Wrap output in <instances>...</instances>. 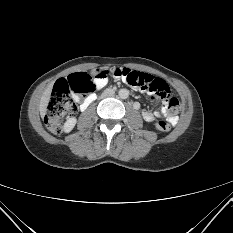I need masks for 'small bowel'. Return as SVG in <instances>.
Instances as JSON below:
<instances>
[{
	"instance_id": "c3829d8e",
	"label": "small bowel",
	"mask_w": 233,
	"mask_h": 233,
	"mask_svg": "<svg viewBox=\"0 0 233 233\" xmlns=\"http://www.w3.org/2000/svg\"><path fill=\"white\" fill-rule=\"evenodd\" d=\"M107 83H108V77H103V76L95 77L94 84H95V88L97 90L103 88ZM93 99H94V97L92 95L87 97L86 99H84L81 103V109H86L89 106V104L93 101ZM142 116H143L144 120H146L148 122L154 121L156 118H167L168 121L172 125H175L177 123V118L168 116L165 108H161L159 110H156L155 112L143 110Z\"/></svg>"
}]
</instances>
